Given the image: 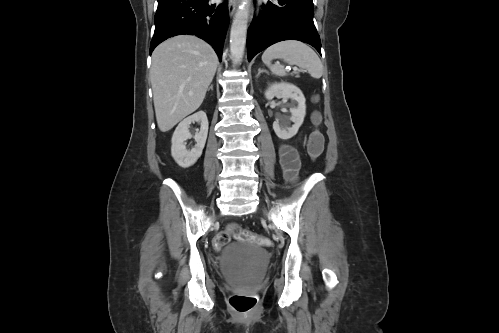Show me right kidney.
<instances>
[{
	"instance_id": "obj_1",
	"label": "right kidney",
	"mask_w": 499,
	"mask_h": 333,
	"mask_svg": "<svg viewBox=\"0 0 499 333\" xmlns=\"http://www.w3.org/2000/svg\"><path fill=\"white\" fill-rule=\"evenodd\" d=\"M192 122H199L201 124L200 131L194 135L196 145L191 150H187L185 141L192 137L189 132V127ZM208 134V119L204 111H199L179 123L172 136L171 155L176 163L183 167L188 168L196 163L202 155L203 148L206 143Z\"/></svg>"
}]
</instances>
